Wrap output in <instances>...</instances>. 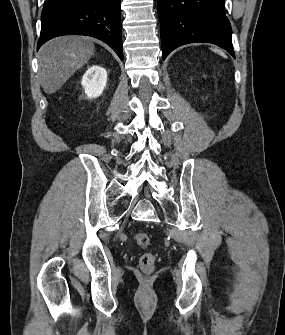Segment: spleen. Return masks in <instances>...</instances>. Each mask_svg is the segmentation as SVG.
Returning a JSON list of instances; mask_svg holds the SVG:
<instances>
[{
  "mask_svg": "<svg viewBox=\"0 0 285 335\" xmlns=\"http://www.w3.org/2000/svg\"><path fill=\"white\" fill-rule=\"evenodd\" d=\"M212 52H216V54H220V56H223V58H227V56H225L224 52H221V50H217V48H214V50H212Z\"/></svg>",
  "mask_w": 285,
  "mask_h": 335,
  "instance_id": "spleen-1",
  "label": "spleen"
}]
</instances>
